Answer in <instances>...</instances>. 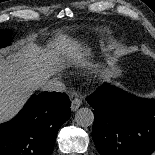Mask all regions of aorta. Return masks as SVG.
<instances>
[{
	"mask_svg": "<svg viewBox=\"0 0 155 155\" xmlns=\"http://www.w3.org/2000/svg\"><path fill=\"white\" fill-rule=\"evenodd\" d=\"M75 121L81 127L91 126L94 122V114L90 108H80L75 113Z\"/></svg>",
	"mask_w": 155,
	"mask_h": 155,
	"instance_id": "obj_1",
	"label": "aorta"
}]
</instances>
